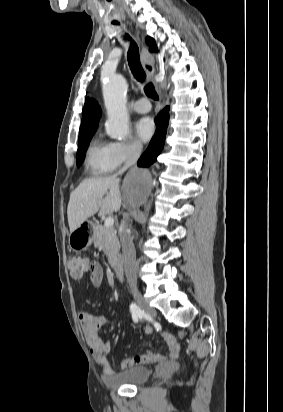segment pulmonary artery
Instances as JSON below:
<instances>
[{"label":"pulmonary artery","mask_w":283,"mask_h":412,"mask_svg":"<svg viewBox=\"0 0 283 412\" xmlns=\"http://www.w3.org/2000/svg\"><path fill=\"white\" fill-rule=\"evenodd\" d=\"M134 108L137 113L144 114L150 111L151 106L146 98H140Z\"/></svg>","instance_id":"1"}]
</instances>
